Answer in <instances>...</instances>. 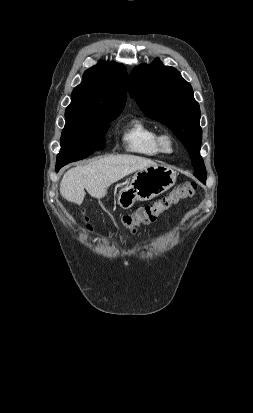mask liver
<instances>
[{
	"label": "liver",
	"instance_id": "6515ba94",
	"mask_svg": "<svg viewBox=\"0 0 253 413\" xmlns=\"http://www.w3.org/2000/svg\"><path fill=\"white\" fill-rule=\"evenodd\" d=\"M158 166L154 161L132 155L107 156L84 166L69 169L60 183V193L69 202L81 205L85 189L94 198L106 196L107 189L123 177L147 167Z\"/></svg>",
	"mask_w": 253,
	"mask_h": 413
}]
</instances>
